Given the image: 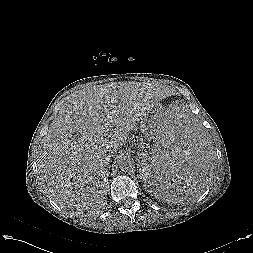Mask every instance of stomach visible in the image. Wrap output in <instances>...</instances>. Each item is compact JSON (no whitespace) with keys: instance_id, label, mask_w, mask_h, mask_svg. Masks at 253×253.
<instances>
[{"instance_id":"0dacf381","label":"stomach","mask_w":253,"mask_h":253,"mask_svg":"<svg viewBox=\"0 0 253 253\" xmlns=\"http://www.w3.org/2000/svg\"><path fill=\"white\" fill-rule=\"evenodd\" d=\"M165 114L164 109L155 106L151 111L147 112L140 123V129L146 139H151L158 126L159 120Z\"/></svg>"}]
</instances>
